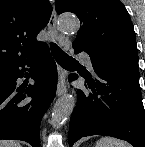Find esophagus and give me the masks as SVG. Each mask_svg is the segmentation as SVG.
Masks as SVG:
<instances>
[{"label":"esophagus","instance_id":"1","mask_svg":"<svg viewBox=\"0 0 145 147\" xmlns=\"http://www.w3.org/2000/svg\"><path fill=\"white\" fill-rule=\"evenodd\" d=\"M48 29L51 33V36L55 42H60V37L58 35L57 30V14L55 9L53 8L49 23H48ZM67 91L66 84H65V75L63 72L59 73V80H58V86H57V92L56 95L62 96Z\"/></svg>","mask_w":145,"mask_h":147}]
</instances>
